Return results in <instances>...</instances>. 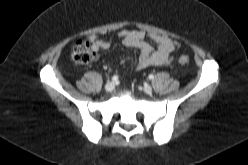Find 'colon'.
I'll use <instances>...</instances> for the list:
<instances>
[{"instance_id": "colon-1", "label": "colon", "mask_w": 248, "mask_h": 165, "mask_svg": "<svg viewBox=\"0 0 248 165\" xmlns=\"http://www.w3.org/2000/svg\"><path fill=\"white\" fill-rule=\"evenodd\" d=\"M71 57L74 63L79 65H86L97 59V53L92 49L88 41L79 40L73 47ZM178 62L181 65H186L189 63V58L185 55H182L178 58Z\"/></svg>"}]
</instances>
